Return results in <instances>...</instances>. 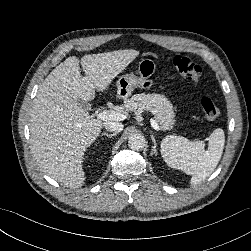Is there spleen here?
Wrapping results in <instances>:
<instances>
[{
	"instance_id": "1",
	"label": "spleen",
	"mask_w": 251,
	"mask_h": 251,
	"mask_svg": "<svg viewBox=\"0 0 251 251\" xmlns=\"http://www.w3.org/2000/svg\"><path fill=\"white\" fill-rule=\"evenodd\" d=\"M208 148L203 141H190L182 136H167L161 142V155L168 166L192 175L191 185L210 176L218 165L224 148L223 129H215L208 138Z\"/></svg>"
}]
</instances>
